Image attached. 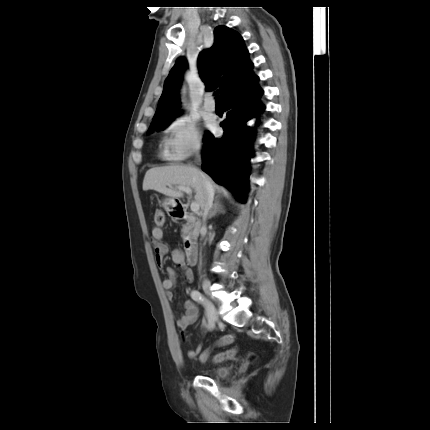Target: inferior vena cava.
<instances>
[{
	"label": "inferior vena cava",
	"instance_id": "obj_1",
	"mask_svg": "<svg viewBox=\"0 0 430 430\" xmlns=\"http://www.w3.org/2000/svg\"><path fill=\"white\" fill-rule=\"evenodd\" d=\"M197 158L200 161V155L197 153ZM203 177V187H204V195L202 200L201 208L203 210V225L201 230H206V218L209 210L212 208L213 200H214V187L210 181V179L206 176Z\"/></svg>",
	"mask_w": 430,
	"mask_h": 430
}]
</instances>
